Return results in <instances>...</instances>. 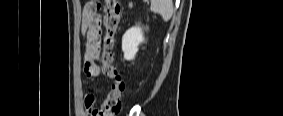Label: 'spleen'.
<instances>
[{"instance_id": "obj_1", "label": "spleen", "mask_w": 283, "mask_h": 116, "mask_svg": "<svg viewBox=\"0 0 283 116\" xmlns=\"http://www.w3.org/2000/svg\"><path fill=\"white\" fill-rule=\"evenodd\" d=\"M150 10L159 14L167 22L173 15L172 0H151Z\"/></svg>"}]
</instances>
